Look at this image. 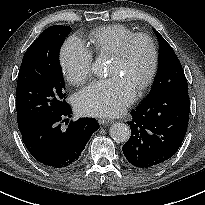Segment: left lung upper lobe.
<instances>
[{
    "label": "left lung upper lobe",
    "instance_id": "5c2ea615",
    "mask_svg": "<svg viewBox=\"0 0 205 205\" xmlns=\"http://www.w3.org/2000/svg\"><path fill=\"white\" fill-rule=\"evenodd\" d=\"M159 41V70L154 85L145 100L157 95H166L187 82L182 65L172 47L154 30Z\"/></svg>",
    "mask_w": 205,
    "mask_h": 205
}]
</instances>
